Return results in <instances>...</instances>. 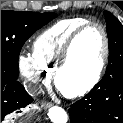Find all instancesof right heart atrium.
Listing matches in <instances>:
<instances>
[{"label":"right heart atrium","mask_w":123,"mask_h":123,"mask_svg":"<svg viewBox=\"0 0 123 123\" xmlns=\"http://www.w3.org/2000/svg\"><path fill=\"white\" fill-rule=\"evenodd\" d=\"M17 67L20 75L34 90H37L41 84L48 82L50 78L49 72L33 54L20 53L17 57Z\"/></svg>","instance_id":"obj_1"}]
</instances>
